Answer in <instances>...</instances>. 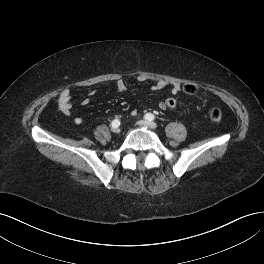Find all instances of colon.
Segmentation results:
<instances>
[{"label": "colon", "instance_id": "5ec220e1", "mask_svg": "<svg viewBox=\"0 0 264 264\" xmlns=\"http://www.w3.org/2000/svg\"><path fill=\"white\" fill-rule=\"evenodd\" d=\"M182 89L186 94H189V95H193L198 91V87L194 83H185ZM162 103L166 109H170V110H175L178 106L177 101L172 97L166 98L164 101H162ZM209 116H210V119L214 122H220L222 119L221 111L217 108H213L210 111Z\"/></svg>", "mask_w": 264, "mask_h": 264}]
</instances>
